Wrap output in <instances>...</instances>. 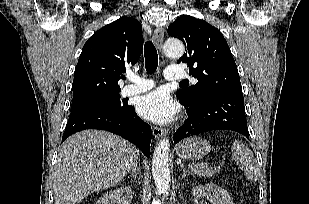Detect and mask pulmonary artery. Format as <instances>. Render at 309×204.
Here are the masks:
<instances>
[{
	"instance_id": "obj_1",
	"label": "pulmonary artery",
	"mask_w": 309,
	"mask_h": 204,
	"mask_svg": "<svg viewBox=\"0 0 309 204\" xmlns=\"http://www.w3.org/2000/svg\"><path fill=\"white\" fill-rule=\"evenodd\" d=\"M165 78L167 80H184L188 78V75L184 70L180 68L168 67L165 71ZM154 85V82L149 79L142 77H134L132 79V83L125 86L122 89L121 93L124 96L136 95L152 89Z\"/></svg>"
}]
</instances>
